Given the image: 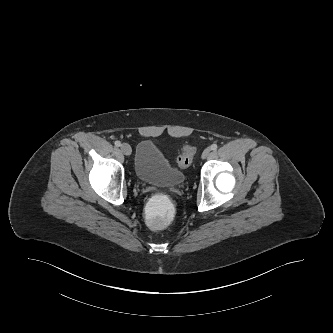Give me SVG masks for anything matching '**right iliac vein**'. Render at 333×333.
Returning <instances> with one entry per match:
<instances>
[{
	"label": "right iliac vein",
	"mask_w": 333,
	"mask_h": 333,
	"mask_svg": "<svg viewBox=\"0 0 333 333\" xmlns=\"http://www.w3.org/2000/svg\"><path fill=\"white\" fill-rule=\"evenodd\" d=\"M121 151L123 152V154H125L127 156L130 155L132 152L130 145H128L126 143L121 145Z\"/></svg>",
	"instance_id": "1"
}]
</instances>
